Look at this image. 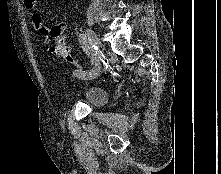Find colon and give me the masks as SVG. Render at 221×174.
Returning <instances> with one entry per match:
<instances>
[{
	"label": "colon",
	"instance_id": "colon-1",
	"mask_svg": "<svg viewBox=\"0 0 221 174\" xmlns=\"http://www.w3.org/2000/svg\"><path fill=\"white\" fill-rule=\"evenodd\" d=\"M41 32L46 40L55 42V45L52 48L54 53L61 56L68 63L78 68L80 67L78 61L71 54L70 47L68 46L65 38L62 36V33L58 29L54 27H44Z\"/></svg>",
	"mask_w": 221,
	"mask_h": 174
}]
</instances>
